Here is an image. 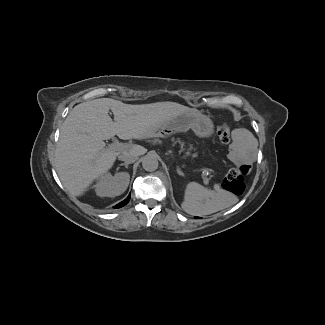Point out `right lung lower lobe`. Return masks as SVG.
<instances>
[{"mask_svg":"<svg viewBox=\"0 0 325 325\" xmlns=\"http://www.w3.org/2000/svg\"><path fill=\"white\" fill-rule=\"evenodd\" d=\"M130 200V195L122 202H120L119 204L116 205V208H120L123 207L124 205H126Z\"/></svg>","mask_w":325,"mask_h":325,"instance_id":"right-lung-lower-lobe-1","label":"right lung lower lobe"}]
</instances>
